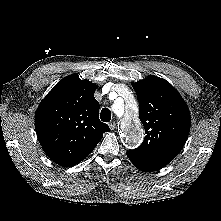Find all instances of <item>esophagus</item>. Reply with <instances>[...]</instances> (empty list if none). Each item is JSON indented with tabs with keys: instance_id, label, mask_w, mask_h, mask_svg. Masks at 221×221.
Wrapping results in <instances>:
<instances>
[{
	"instance_id": "1",
	"label": "esophagus",
	"mask_w": 221,
	"mask_h": 221,
	"mask_svg": "<svg viewBox=\"0 0 221 221\" xmlns=\"http://www.w3.org/2000/svg\"><path fill=\"white\" fill-rule=\"evenodd\" d=\"M109 127H110L111 130H114L115 127H116L115 121H111V122L109 123Z\"/></svg>"
}]
</instances>
